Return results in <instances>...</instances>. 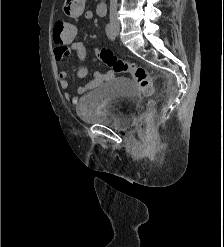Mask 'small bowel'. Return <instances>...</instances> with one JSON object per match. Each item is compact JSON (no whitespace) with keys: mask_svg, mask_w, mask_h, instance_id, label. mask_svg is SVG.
Masks as SVG:
<instances>
[{"mask_svg":"<svg viewBox=\"0 0 224 247\" xmlns=\"http://www.w3.org/2000/svg\"><path fill=\"white\" fill-rule=\"evenodd\" d=\"M63 10L66 15L72 18L84 16L86 19H91L93 17L92 11L84 10V0H65ZM54 41L56 46L53 50V56L56 61L63 60L71 51H77L78 53H82L84 51V45L81 42L74 40L69 42ZM58 83L62 89L66 90L68 88L69 83L67 80L66 71L61 70L58 72ZM65 98L72 104L77 102L76 97L72 96L68 92L65 93Z\"/></svg>","mask_w":224,"mask_h":247,"instance_id":"small-bowel-1","label":"small bowel"}]
</instances>
